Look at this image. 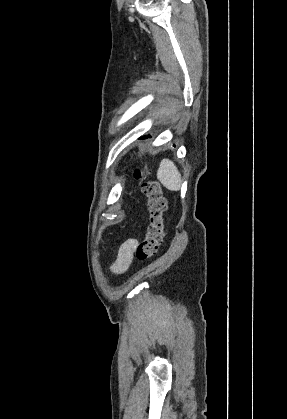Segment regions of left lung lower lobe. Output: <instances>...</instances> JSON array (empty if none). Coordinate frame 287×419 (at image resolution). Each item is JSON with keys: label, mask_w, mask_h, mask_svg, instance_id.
Listing matches in <instances>:
<instances>
[{"label": "left lung lower lobe", "mask_w": 287, "mask_h": 419, "mask_svg": "<svg viewBox=\"0 0 287 419\" xmlns=\"http://www.w3.org/2000/svg\"><path fill=\"white\" fill-rule=\"evenodd\" d=\"M145 138H148V137H141V139H145Z\"/></svg>", "instance_id": "obj_1"}]
</instances>
